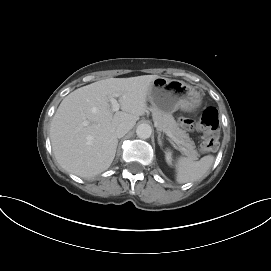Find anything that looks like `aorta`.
<instances>
[{
	"label": "aorta",
	"instance_id": "aorta-1",
	"mask_svg": "<svg viewBox=\"0 0 271 271\" xmlns=\"http://www.w3.org/2000/svg\"><path fill=\"white\" fill-rule=\"evenodd\" d=\"M136 134L141 139H147L152 134V128L149 124L146 123L140 124L136 129Z\"/></svg>",
	"mask_w": 271,
	"mask_h": 271
}]
</instances>
